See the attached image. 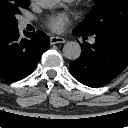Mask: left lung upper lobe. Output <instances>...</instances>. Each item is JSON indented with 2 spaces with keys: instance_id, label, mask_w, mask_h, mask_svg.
Segmentation results:
<instances>
[{
  "instance_id": "1",
  "label": "left lung upper lobe",
  "mask_w": 128,
  "mask_h": 128,
  "mask_svg": "<svg viewBox=\"0 0 128 128\" xmlns=\"http://www.w3.org/2000/svg\"><path fill=\"white\" fill-rule=\"evenodd\" d=\"M96 6L78 27L88 35L128 33V0H95Z\"/></svg>"
}]
</instances>
